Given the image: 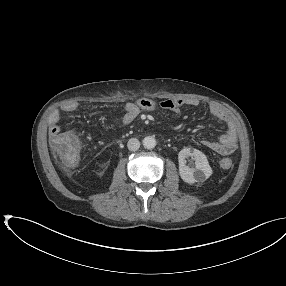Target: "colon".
<instances>
[{
  "mask_svg": "<svg viewBox=\"0 0 286 286\" xmlns=\"http://www.w3.org/2000/svg\"><path fill=\"white\" fill-rule=\"evenodd\" d=\"M51 143L63 165L71 167L78 162L80 141L77 135L72 132L58 133L51 137ZM220 165L223 169H230L233 166V161L230 158H225L221 160Z\"/></svg>",
  "mask_w": 286,
  "mask_h": 286,
  "instance_id": "obj_1",
  "label": "colon"
}]
</instances>
